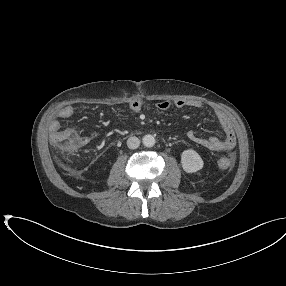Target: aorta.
Listing matches in <instances>:
<instances>
[{"mask_svg":"<svg viewBox=\"0 0 286 286\" xmlns=\"http://www.w3.org/2000/svg\"><path fill=\"white\" fill-rule=\"evenodd\" d=\"M155 138L151 134H146L142 138V143L145 147H153L155 145Z\"/></svg>","mask_w":286,"mask_h":286,"instance_id":"obj_1","label":"aorta"}]
</instances>
